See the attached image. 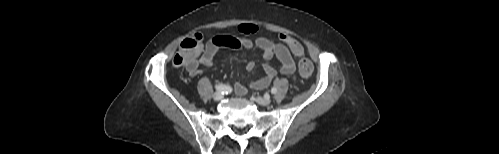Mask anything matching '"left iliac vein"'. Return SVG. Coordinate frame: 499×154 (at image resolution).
<instances>
[{"label":"left iliac vein","instance_id":"obj_1","mask_svg":"<svg viewBox=\"0 0 499 154\" xmlns=\"http://www.w3.org/2000/svg\"><path fill=\"white\" fill-rule=\"evenodd\" d=\"M254 100L262 106L269 105L271 102L270 97H255Z\"/></svg>","mask_w":499,"mask_h":154}]
</instances>
